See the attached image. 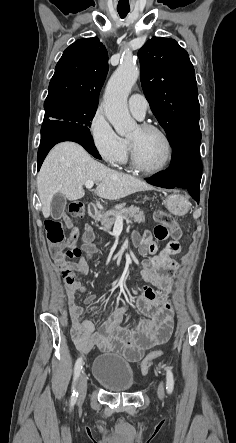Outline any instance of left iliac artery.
Returning <instances> with one entry per match:
<instances>
[{
    "label": "left iliac artery",
    "instance_id": "44dca946",
    "mask_svg": "<svg viewBox=\"0 0 236 443\" xmlns=\"http://www.w3.org/2000/svg\"><path fill=\"white\" fill-rule=\"evenodd\" d=\"M166 371H167V373H166V379H167V381H166V389H167V392L169 394H171L172 391H173V388H174L173 374H172V371H171L170 368H167Z\"/></svg>",
    "mask_w": 236,
    "mask_h": 443
}]
</instances>
